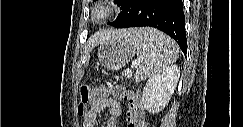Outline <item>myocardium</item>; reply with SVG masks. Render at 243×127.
<instances>
[{"label": "myocardium", "instance_id": "myocardium-1", "mask_svg": "<svg viewBox=\"0 0 243 127\" xmlns=\"http://www.w3.org/2000/svg\"><path fill=\"white\" fill-rule=\"evenodd\" d=\"M118 11L119 7L116 1L99 0L91 6L89 18L93 23L101 25L111 20Z\"/></svg>", "mask_w": 243, "mask_h": 127}]
</instances>
